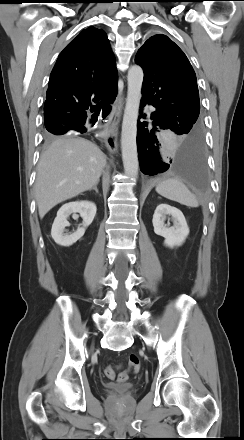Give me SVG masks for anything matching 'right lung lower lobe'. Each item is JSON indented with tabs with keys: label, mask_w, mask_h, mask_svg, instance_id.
<instances>
[{
	"label": "right lung lower lobe",
	"mask_w": 244,
	"mask_h": 440,
	"mask_svg": "<svg viewBox=\"0 0 244 440\" xmlns=\"http://www.w3.org/2000/svg\"><path fill=\"white\" fill-rule=\"evenodd\" d=\"M114 96L109 100L112 103L115 100ZM98 114L93 116V119L96 120ZM86 116H80L76 118L69 119H60L58 122L50 124L49 126H45L46 129L54 132L56 135H63L69 131H78L80 133H85L87 131L85 127ZM94 122V121H93Z\"/></svg>",
	"instance_id": "1"
}]
</instances>
